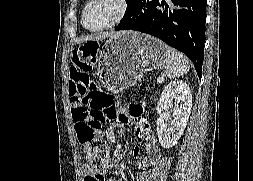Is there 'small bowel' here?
Segmentation results:
<instances>
[{
	"instance_id": "obj_1",
	"label": "small bowel",
	"mask_w": 253,
	"mask_h": 181,
	"mask_svg": "<svg viewBox=\"0 0 253 181\" xmlns=\"http://www.w3.org/2000/svg\"><path fill=\"white\" fill-rule=\"evenodd\" d=\"M93 63V60H90L89 57H84L80 60L74 59L69 80L71 101L74 97L88 92L90 86L89 73L93 67ZM142 114L143 107L141 105L119 106L118 124L115 126V130L108 134V138L113 143H117L118 137L123 133L125 126L128 124L134 126L136 128L137 142L132 147L131 156L135 160L140 159L142 157V147H144L146 151L144 166L150 167L155 166L159 162L160 151L148 125L139 121ZM119 168V162L115 158L108 159L104 167H90L86 164L83 168V179L84 181H120L116 179L110 180V178H106V174H103V172L118 170ZM149 179L148 175L141 177L142 181H149Z\"/></svg>"
}]
</instances>
